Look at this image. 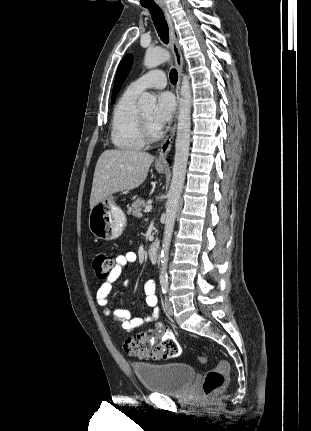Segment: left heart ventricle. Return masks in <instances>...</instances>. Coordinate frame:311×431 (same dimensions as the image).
I'll list each match as a JSON object with an SVG mask.
<instances>
[{
  "mask_svg": "<svg viewBox=\"0 0 311 431\" xmlns=\"http://www.w3.org/2000/svg\"><path fill=\"white\" fill-rule=\"evenodd\" d=\"M142 113L145 116V118L148 120V122L150 123L153 131L158 132V130L156 129V127L153 124V114H154L153 109L143 111Z\"/></svg>",
  "mask_w": 311,
  "mask_h": 431,
  "instance_id": "b2bd125f",
  "label": "left heart ventricle"
}]
</instances>
